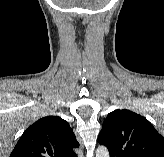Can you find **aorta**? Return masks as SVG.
<instances>
[{
  "mask_svg": "<svg viewBox=\"0 0 164 157\" xmlns=\"http://www.w3.org/2000/svg\"><path fill=\"white\" fill-rule=\"evenodd\" d=\"M96 157H109V151L105 146H99L96 150Z\"/></svg>",
  "mask_w": 164,
  "mask_h": 157,
  "instance_id": "762f6f07",
  "label": "aorta"
}]
</instances>
